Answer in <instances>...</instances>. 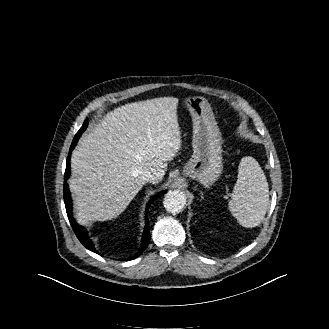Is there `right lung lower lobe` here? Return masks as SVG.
Masks as SVG:
<instances>
[{"label":"right lung lower lobe","instance_id":"98d812e1","mask_svg":"<svg viewBox=\"0 0 329 329\" xmlns=\"http://www.w3.org/2000/svg\"><path fill=\"white\" fill-rule=\"evenodd\" d=\"M73 148H74V146L70 147V152L72 151ZM69 175H70V154H68V157H67L66 170H65V174H64V202H65L67 216H68V219L71 223V226H72L77 238L83 244V246L85 248L97 253V251L95 250V247L93 245L92 240L89 239V237L87 236L88 234H87V231L85 230V228L78 225L75 222L74 218L72 217V202H71L69 188H68V185L66 183L67 179L69 178ZM162 194H164V192H161V193L153 196V198L149 201L148 206H150V204L154 201V199H156L158 196H160ZM147 213H148V207L146 208V214H145L146 215L145 216L146 225H145V230H144L143 237H142L141 248L133 258H136V257L140 256L142 254V252L147 248V246L150 242V231H149V226H148L149 222H148Z\"/></svg>","mask_w":329,"mask_h":329}]
</instances>
